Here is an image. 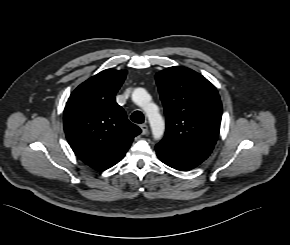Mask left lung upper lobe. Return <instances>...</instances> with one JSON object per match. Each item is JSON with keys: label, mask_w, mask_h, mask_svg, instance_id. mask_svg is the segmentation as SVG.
Wrapping results in <instances>:
<instances>
[{"label": "left lung upper lobe", "mask_w": 290, "mask_h": 245, "mask_svg": "<svg viewBox=\"0 0 290 245\" xmlns=\"http://www.w3.org/2000/svg\"><path fill=\"white\" fill-rule=\"evenodd\" d=\"M166 115V132L159 145L184 158L203 162L217 141L222 105L216 88L185 67L156 74Z\"/></svg>", "instance_id": "1"}]
</instances>
